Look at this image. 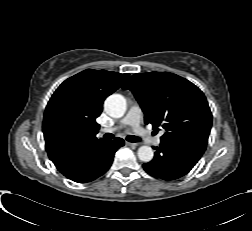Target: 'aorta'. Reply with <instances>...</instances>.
Here are the masks:
<instances>
[{
  "label": "aorta",
  "instance_id": "762f6f07",
  "mask_svg": "<svg viewBox=\"0 0 252 231\" xmlns=\"http://www.w3.org/2000/svg\"><path fill=\"white\" fill-rule=\"evenodd\" d=\"M106 113L113 118H121L126 112V100L120 94H112L104 102ZM142 162H150L154 157L153 149L150 146H141L137 152Z\"/></svg>",
  "mask_w": 252,
  "mask_h": 231
}]
</instances>
